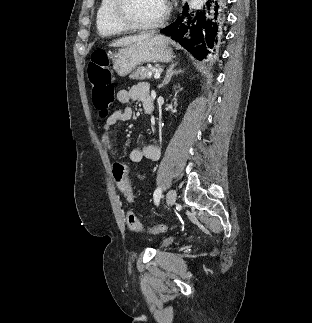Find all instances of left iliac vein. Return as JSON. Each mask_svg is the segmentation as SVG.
<instances>
[{"instance_id":"obj_1","label":"left iliac vein","mask_w":312,"mask_h":323,"mask_svg":"<svg viewBox=\"0 0 312 323\" xmlns=\"http://www.w3.org/2000/svg\"><path fill=\"white\" fill-rule=\"evenodd\" d=\"M176 201V192L171 189L169 190V192L167 193V196H166V202H167V206H172Z\"/></svg>"}]
</instances>
